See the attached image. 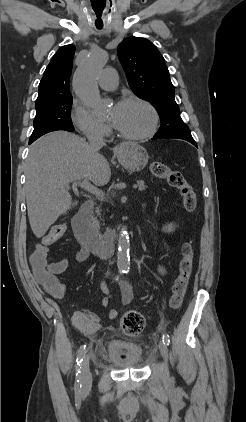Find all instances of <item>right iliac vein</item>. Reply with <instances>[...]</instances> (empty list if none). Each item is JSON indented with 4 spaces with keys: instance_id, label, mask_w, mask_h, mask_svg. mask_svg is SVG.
Wrapping results in <instances>:
<instances>
[{
    "instance_id": "1",
    "label": "right iliac vein",
    "mask_w": 246,
    "mask_h": 422,
    "mask_svg": "<svg viewBox=\"0 0 246 422\" xmlns=\"http://www.w3.org/2000/svg\"><path fill=\"white\" fill-rule=\"evenodd\" d=\"M82 387L84 390L88 389L92 382V375L90 372V354L87 353L81 364Z\"/></svg>"
}]
</instances>
